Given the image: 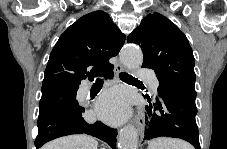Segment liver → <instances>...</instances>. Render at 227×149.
Masks as SVG:
<instances>
[{
    "label": "liver",
    "mask_w": 227,
    "mask_h": 149,
    "mask_svg": "<svg viewBox=\"0 0 227 149\" xmlns=\"http://www.w3.org/2000/svg\"><path fill=\"white\" fill-rule=\"evenodd\" d=\"M97 141L88 135H69L55 139L42 149H97Z\"/></svg>",
    "instance_id": "6515ba94"
}]
</instances>
